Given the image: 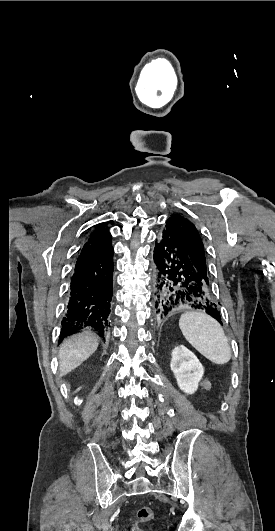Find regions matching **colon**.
Segmentation results:
<instances>
[{
	"label": "colon",
	"mask_w": 275,
	"mask_h": 531,
	"mask_svg": "<svg viewBox=\"0 0 275 531\" xmlns=\"http://www.w3.org/2000/svg\"><path fill=\"white\" fill-rule=\"evenodd\" d=\"M152 518V510L149 507H141L137 510L132 524V531H141V525Z\"/></svg>",
	"instance_id": "1"
}]
</instances>
